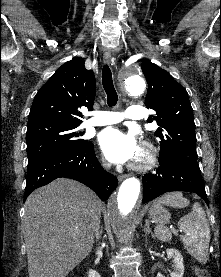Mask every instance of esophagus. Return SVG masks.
Here are the masks:
<instances>
[{
	"label": "esophagus",
	"mask_w": 221,
	"mask_h": 277,
	"mask_svg": "<svg viewBox=\"0 0 221 277\" xmlns=\"http://www.w3.org/2000/svg\"><path fill=\"white\" fill-rule=\"evenodd\" d=\"M103 60H104V63H106V64L110 63V61H111V52L110 51H108V50L105 51ZM125 178H127V175H125V174L118 175V180L119 181H122Z\"/></svg>",
	"instance_id": "obj_1"
}]
</instances>
